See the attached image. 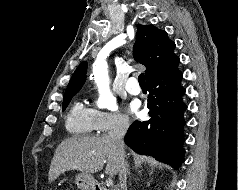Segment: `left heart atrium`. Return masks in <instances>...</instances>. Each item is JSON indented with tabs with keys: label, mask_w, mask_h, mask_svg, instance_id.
Returning <instances> with one entry per match:
<instances>
[{
	"label": "left heart atrium",
	"mask_w": 238,
	"mask_h": 190,
	"mask_svg": "<svg viewBox=\"0 0 238 190\" xmlns=\"http://www.w3.org/2000/svg\"><path fill=\"white\" fill-rule=\"evenodd\" d=\"M130 109L133 113H137V110H138V106L136 103H132L131 106H130Z\"/></svg>",
	"instance_id": "39dd6f15"
}]
</instances>
